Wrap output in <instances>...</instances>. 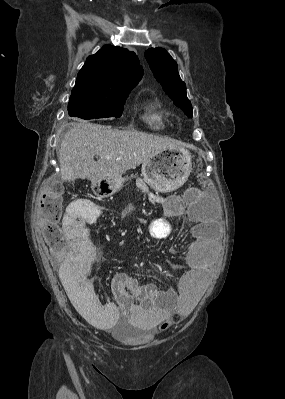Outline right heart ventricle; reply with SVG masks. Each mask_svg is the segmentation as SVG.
Wrapping results in <instances>:
<instances>
[{"mask_svg":"<svg viewBox=\"0 0 285 399\" xmlns=\"http://www.w3.org/2000/svg\"><path fill=\"white\" fill-rule=\"evenodd\" d=\"M144 117L148 123L156 128H160L163 125V114L160 109V104L156 101L146 102L143 106Z\"/></svg>","mask_w":285,"mask_h":399,"instance_id":"right-heart-ventricle-1","label":"right heart ventricle"}]
</instances>
